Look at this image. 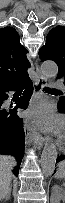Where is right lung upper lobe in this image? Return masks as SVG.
I'll return each mask as SVG.
<instances>
[{"label": "right lung upper lobe", "mask_w": 65, "mask_h": 203, "mask_svg": "<svg viewBox=\"0 0 65 203\" xmlns=\"http://www.w3.org/2000/svg\"><path fill=\"white\" fill-rule=\"evenodd\" d=\"M26 53L14 28L0 29V89L17 85L29 78L27 69L31 65Z\"/></svg>", "instance_id": "cb5924a9"}]
</instances>
